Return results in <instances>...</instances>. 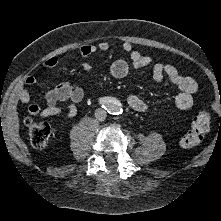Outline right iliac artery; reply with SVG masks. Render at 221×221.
<instances>
[{"label": "right iliac artery", "mask_w": 221, "mask_h": 221, "mask_svg": "<svg viewBox=\"0 0 221 221\" xmlns=\"http://www.w3.org/2000/svg\"><path fill=\"white\" fill-rule=\"evenodd\" d=\"M100 103H102V104L107 103V99H106V98H101V99H100Z\"/></svg>", "instance_id": "right-iliac-artery-1"}]
</instances>
